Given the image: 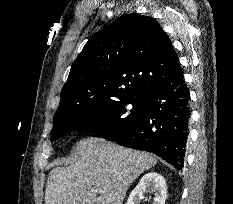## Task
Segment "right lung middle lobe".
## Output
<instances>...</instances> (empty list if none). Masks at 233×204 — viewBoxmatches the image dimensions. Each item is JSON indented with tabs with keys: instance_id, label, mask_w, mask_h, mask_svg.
Wrapping results in <instances>:
<instances>
[{
	"instance_id": "dd1d6c3e",
	"label": "right lung middle lobe",
	"mask_w": 233,
	"mask_h": 204,
	"mask_svg": "<svg viewBox=\"0 0 233 204\" xmlns=\"http://www.w3.org/2000/svg\"><path fill=\"white\" fill-rule=\"evenodd\" d=\"M128 104L132 105V109L126 108ZM145 104L146 96H135L109 101L92 110L77 112L54 124L51 141L78 127L84 131L93 130L97 137L110 139L134 125L144 113Z\"/></svg>"
}]
</instances>
